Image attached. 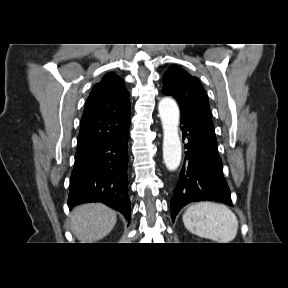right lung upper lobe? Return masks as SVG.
Here are the masks:
<instances>
[{"instance_id": "cb5924a9", "label": "right lung upper lobe", "mask_w": 288, "mask_h": 288, "mask_svg": "<svg viewBox=\"0 0 288 288\" xmlns=\"http://www.w3.org/2000/svg\"><path fill=\"white\" fill-rule=\"evenodd\" d=\"M129 92L124 80L108 73L95 85L82 116L77 151L80 153L110 139L130 123Z\"/></svg>"}]
</instances>
